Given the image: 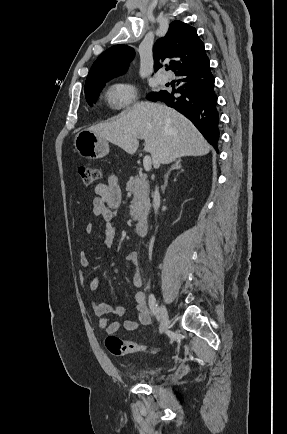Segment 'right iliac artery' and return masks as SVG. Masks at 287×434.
I'll return each mask as SVG.
<instances>
[{"label": "right iliac artery", "mask_w": 287, "mask_h": 434, "mask_svg": "<svg viewBox=\"0 0 287 434\" xmlns=\"http://www.w3.org/2000/svg\"><path fill=\"white\" fill-rule=\"evenodd\" d=\"M149 307H150L151 312L154 314L157 321L159 322L160 321L159 309H158V305H157L156 299H155L153 294H150V296H149Z\"/></svg>", "instance_id": "82829eb1"}]
</instances>
